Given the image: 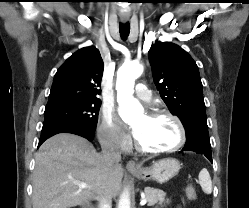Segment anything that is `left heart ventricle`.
Returning a JSON list of instances; mask_svg holds the SVG:
<instances>
[{
  "label": "left heart ventricle",
  "instance_id": "obj_1",
  "mask_svg": "<svg viewBox=\"0 0 249 208\" xmlns=\"http://www.w3.org/2000/svg\"><path fill=\"white\" fill-rule=\"evenodd\" d=\"M139 130V143L148 149H167L179 141V129L176 123L168 117H150L143 115L134 123Z\"/></svg>",
  "mask_w": 249,
  "mask_h": 208
}]
</instances>
